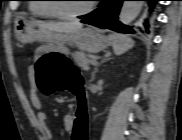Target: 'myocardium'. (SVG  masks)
Listing matches in <instances>:
<instances>
[{
    "mask_svg": "<svg viewBox=\"0 0 182 140\" xmlns=\"http://www.w3.org/2000/svg\"><path fill=\"white\" fill-rule=\"evenodd\" d=\"M52 1H57V0H52ZM50 7L52 9L54 16H57L62 19H77L88 14L92 10L93 4L89 3L83 9L77 12H66L65 10L62 9L61 4L59 3H52L50 4Z\"/></svg>",
    "mask_w": 182,
    "mask_h": 140,
    "instance_id": "1",
    "label": "myocardium"
}]
</instances>
